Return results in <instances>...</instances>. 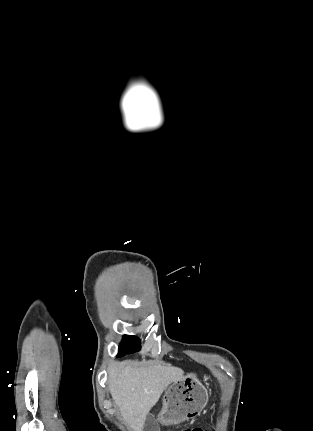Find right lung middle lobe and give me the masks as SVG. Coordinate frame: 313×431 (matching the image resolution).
I'll list each match as a JSON object with an SVG mask.
<instances>
[{"instance_id":"right-lung-middle-lobe-1","label":"right lung middle lobe","mask_w":313,"mask_h":431,"mask_svg":"<svg viewBox=\"0 0 313 431\" xmlns=\"http://www.w3.org/2000/svg\"><path fill=\"white\" fill-rule=\"evenodd\" d=\"M140 348V339L138 337L125 335L120 343L118 356L121 357L126 354L137 352Z\"/></svg>"}]
</instances>
